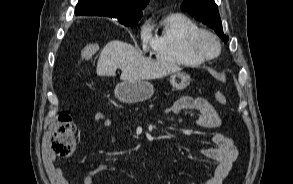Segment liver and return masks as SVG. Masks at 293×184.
<instances>
[{
	"mask_svg": "<svg viewBox=\"0 0 293 184\" xmlns=\"http://www.w3.org/2000/svg\"><path fill=\"white\" fill-rule=\"evenodd\" d=\"M121 69V80L157 79L179 72L181 68L174 63L155 61L142 56L131 44L113 40L102 49L97 62L99 76H115Z\"/></svg>",
	"mask_w": 293,
	"mask_h": 184,
	"instance_id": "liver-1",
	"label": "liver"
}]
</instances>
